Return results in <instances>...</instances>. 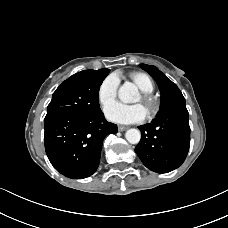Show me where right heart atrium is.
<instances>
[{
  "label": "right heart atrium",
  "mask_w": 228,
  "mask_h": 228,
  "mask_svg": "<svg viewBox=\"0 0 228 228\" xmlns=\"http://www.w3.org/2000/svg\"><path fill=\"white\" fill-rule=\"evenodd\" d=\"M119 77L116 74H109L100 83L97 91L99 103L105 107L110 104L117 96L119 87Z\"/></svg>",
  "instance_id": "obj_1"
}]
</instances>
